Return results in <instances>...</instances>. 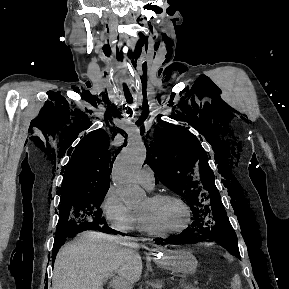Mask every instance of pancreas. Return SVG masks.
<instances>
[{
	"instance_id": "obj_1",
	"label": "pancreas",
	"mask_w": 289,
	"mask_h": 289,
	"mask_svg": "<svg viewBox=\"0 0 289 289\" xmlns=\"http://www.w3.org/2000/svg\"><path fill=\"white\" fill-rule=\"evenodd\" d=\"M184 289H200V288H199V287H196V286L190 285L188 288H184Z\"/></svg>"
}]
</instances>
